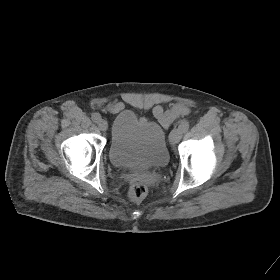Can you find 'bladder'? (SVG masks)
Segmentation results:
<instances>
[{"instance_id": "31cf9c89", "label": "bladder", "mask_w": 280, "mask_h": 280, "mask_svg": "<svg viewBox=\"0 0 280 280\" xmlns=\"http://www.w3.org/2000/svg\"><path fill=\"white\" fill-rule=\"evenodd\" d=\"M108 155L111 163L122 169L164 167L169 162L166 132L159 123L123 110L113 120Z\"/></svg>"}]
</instances>
